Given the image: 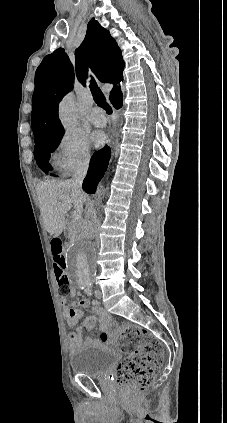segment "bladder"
Returning a JSON list of instances; mask_svg holds the SVG:
<instances>
[{
  "label": "bladder",
  "instance_id": "31cf9c89",
  "mask_svg": "<svg viewBox=\"0 0 227 423\" xmlns=\"http://www.w3.org/2000/svg\"><path fill=\"white\" fill-rule=\"evenodd\" d=\"M116 352L106 351L99 345L82 347L71 357V370L78 375L91 379L103 380L110 375L118 361Z\"/></svg>",
  "mask_w": 227,
  "mask_h": 423
}]
</instances>
